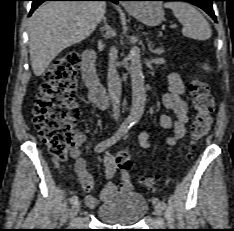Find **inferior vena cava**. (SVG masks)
Segmentation results:
<instances>
[{
	"instance_id": "1",
	"label": "inferior vena cava",
	"mask_w": 234,
	"mask_h": 231,
	"mask_svg": "<svg viewBox=\"0 0 234 231\" xmlns=\"http://www.w3.org/2000/svg\"><path fill=\"white\" fill-rule=\"evenodd\" d=\"M117 57V49L111 47L108 65V91L112 103L113 117L116 121L120 117L121 101V81L117 72Z\"/></svg>"
}]
</instances>
